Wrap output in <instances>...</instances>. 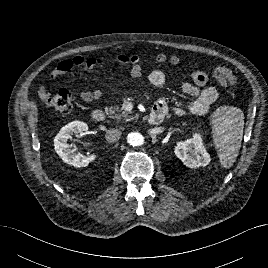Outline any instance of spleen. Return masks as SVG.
Wrapping results in <instances>:
<instances>
[{
    "label": "spleen",
    "mask_w": 268,
    "mask_h": 268,
    "mask_svg": "<svg viewBox=\"0 0 268 268\" xmlns=\"http://www.w3.org/2000/svg\"><path fill=\"white\" fill-rule=\"evenodd\" d=\"M243 129L244 114L241 109L222 106L213 113V143L224 168H230L236 161L241 147Z\"/></svg>",
    "instance_id": "spleen-1"
}]
</instances>
